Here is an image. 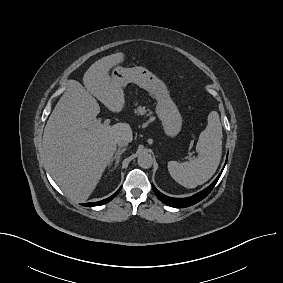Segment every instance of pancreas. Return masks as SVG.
I'll list each match as a JSON object with an SVG mask.
<instances>
[{"label": "pancreas", "mask_w": 283, "mask_h": 283, "mask_svg": "<svg viewBox=\"0 0 283 283\" xmlns=\"http://www.w3.org/2000/svg\"><path fill=\"white\" fill-rule=\"evenodd\" d=\"M135 113L141 116H151L152 114V112L149 109H146L144 106H138L135 110Z\"/></svg>", "instance_id": "pancreas-1"}]
</instances>
